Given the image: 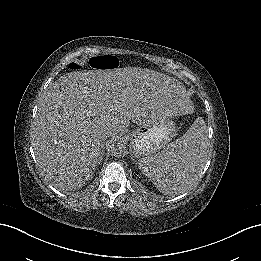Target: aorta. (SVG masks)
I'll return each instance as SVG.
<instances>
[{
	"label": "aorta",
	"instance_id": "aorta-1",
	"mask_svg": "<svg viewBox=\"0 0 261 261\" xmlns=\"http://www.w3.org/2000/svg\"><path fill=\"white\" fill-rule=\"evenodd\" d=\"M123 148H124V145L120 142L118 143V145L115 147L114 149V155L115 156H120L123 154Z\"/></svg>",
	"mask_w": 261,
	"mask_h": 261
}]
</instances>
